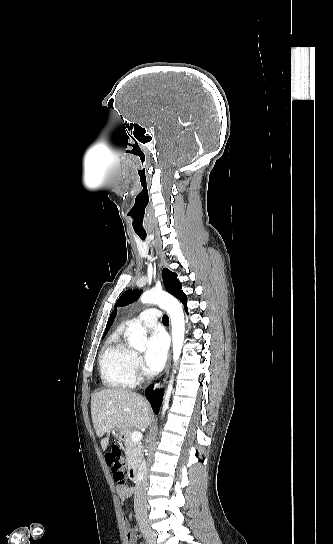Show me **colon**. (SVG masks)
Listing matches in <instances>:
<instances>
[{"label":"colon","instance_id":"5ec220e1","mask_svg":"<svg viewBox=\"0 0 333 544\" xmlns=\"http://www.w3.org/2000/svg\"><path fill=\"white\" fill-rule=\"evenodd\" d=\"M106 462L111 466L113 472V479L118 485H124L125 474L123 470L124 461L121 456V450L119 446L114 445L110 451L106 454Z\"/></svg>","mask_w":333,"mask_h":544}]
</instances>
